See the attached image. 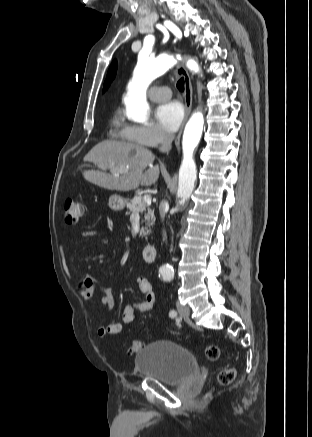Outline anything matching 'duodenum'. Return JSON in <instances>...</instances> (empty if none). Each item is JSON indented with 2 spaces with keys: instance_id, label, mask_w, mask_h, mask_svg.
<instances>
[{
  "instance_id": "1",
  "label": "duodenum",
  "mask_w": 312,
  "mask_h": 437,
  "mask_svg": "<svg viewBox=\"0 0 312 437\" xmlns=\"http://www.w3.org/2000/svg\"><path fill=\"white\" fill-rule=\"evenodd\" d=\"M155 247L151 244L145 245L142 248V259L144 262H152L154 259Z\"/></svg>"
}]
</instances>
